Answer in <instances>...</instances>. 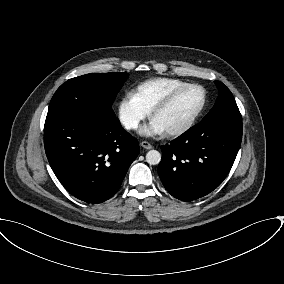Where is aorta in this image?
<instances>
[{
    "instance_id": "762f6f07",
    "label": "aorta",
    "mask_w": 284,
    "mask_h": 284,
    "mask_svg": "<svg viewBox=\"0 0 284 284\" xmlns=\"http://www.w3.org/2000/svg\"><path fill=\"white\" fill-rule=\"evenodd\" d=\"M146 161L150 165H157L161 161V154L157 150H150L146 154Z\"/></svg>"
}]
</instances>
